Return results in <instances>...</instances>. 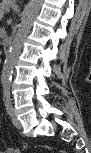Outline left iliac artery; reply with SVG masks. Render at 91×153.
Listing matches in <instances>:
<instances>
[{"instance_id":"44dca946","label":"left iliac artery","mask_w":91,"mask_h":153,"mask_svg":"<svg viewBox=\"0 0 91 153\" xmlns=\"http://www.w3.org/2000/svg\"><path fill=\"white\" fill-rule=\"evenodd\" d=\"M4 103L7 113L11 115L13 112V106L11 104L10 91L8 87H6L4 90Z\"/></svg>"}]
</instances>
